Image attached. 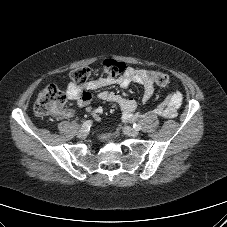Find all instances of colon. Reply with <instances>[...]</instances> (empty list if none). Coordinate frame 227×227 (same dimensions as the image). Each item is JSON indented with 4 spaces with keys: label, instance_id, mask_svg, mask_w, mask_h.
I'll return each mask as SVG.
<instances>
[{
    "label": "colon",
    "instance_id": "1",
    "mask_svg": "<svg viewBox=\"0 0 227 227\" xmlns=\"http://www.w3.org/2000/svg\"><path fill=\"white\" fill-rule=\"evenodd\" d=\"M126 65L123 62L114 59H105L101 64V71L105 77L115 78L123 74ZM91 69L83 66L75 69L71 73V78L76 85L86 83L90 77ZM150 78L158 86L164 87L169 83L167 74L160 71L150 72ZM67 95L56 85L50 84L44 87L35 102L34 110L39 118H46L63 113L67 103Z\"/></svg>",
    "mask_w": 227,
    "mask_h": 227
}]
</instances>
